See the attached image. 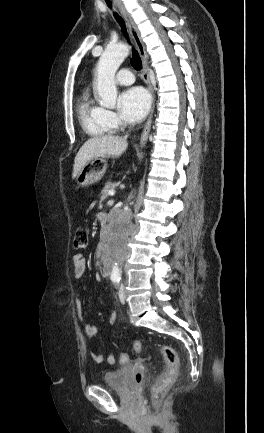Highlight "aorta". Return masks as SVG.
I'll list each match as a JSON object with an SVG mask.
<instances>
[{"instance_id":"1","label":"aorta","mask_w":264,"mask_h":433,"mask_svg":"<svg viewBox=\"0 0 264 433\" xmlns=\"http://www.w3.org/2000/svg\"><path fill=\"white\" fill-rule=\"evenodd\" d=\"M129 49L126 45L108 46L101 55L97 66L96 88L101 105L106 108H114L117 99V88L114 77L117 69L128 56ZM114 261L111 270V278H120L121 269L119 257L113 253Z\"/></svg>"}]
</instances>
